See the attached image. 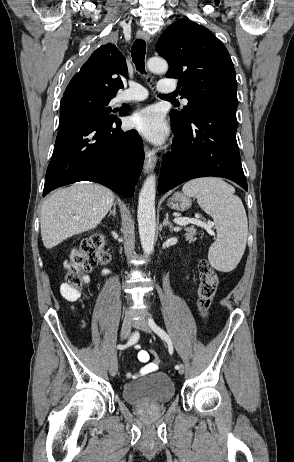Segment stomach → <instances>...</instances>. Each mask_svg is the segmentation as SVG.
<instances>
[{
  "label": "stomach",
  "instance_id": "0dacf381",
  "mask_svg": "<svg viewBox=\"0 0 294 462\" xmlns=\"http://www.w3.org/2000/svg\"><path fill=\"white\" fill-rule=\"evenodd\" d=\"M168 206L175 210L184 211L191 207V200L181 193H175L170 198Z\"/></svg>",
  "mask_w": 294,
  "mask_h": 462
}]
</instances>
